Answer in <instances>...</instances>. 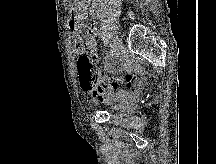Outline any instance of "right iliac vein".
Listing matches in <instances>:
<instances>
[{
	"label": "right iliac vein",
	"instance_id": "obj_1",
	"mask_svg": "<svg viewBox=\"0 0 216 164\" xmlns=\"http://www.w3.org/2000/svg\"><path fill=\"white\" fill-rule=\"evenodd\" d=\"M121 50H122V43L118 38H116L114 42V52H115L116 59L119 58Z\"/></svg>",
	"mask_w": 216,
	"mask_h": 164
}]
</instances>
